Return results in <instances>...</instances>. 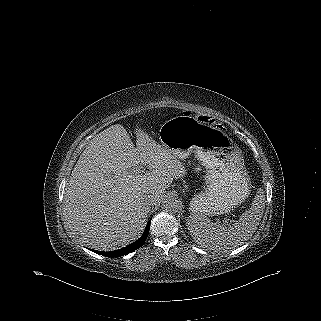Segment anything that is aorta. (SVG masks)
Segmentation results:
<instances>
[{"mask_svg":"<svg viewBox=\"0 0 321 321\" xmlns=\"http://www.w3.org/2000/svg\"><path fill=\"white\" fill-rule=\"evenodd\" d=\"M161 208L170 213H176L180 208V201L173 195H167L162 203Z\"/></svg>","mask_w":321,"mask_h":321,"instance_id":"762f6f07","label":"aorta"}]
</instances>
